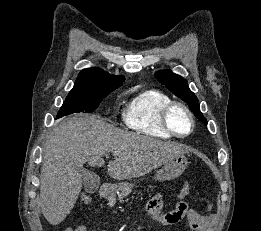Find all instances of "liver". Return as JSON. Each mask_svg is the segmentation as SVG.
<instances>
[{"mask_svg":"<svg viewBox=\"0 0 261 231\" xmlns=\"http://www.w3.org/2000/svg\"><path fill=\"white\" fill-rule=\"evenodd\" d=\"M188 152L182 144L123 131L92 115L62 121L47 140L40 175V205L46 220L57 225L71 212L82 188L78 170L86 162L104 165L112 153L109 175L124 180L148 174Z\"/></svg>","mask_w":261,"mask_h":231,"instance_id":"liver-1","label":"liver"}]
</instances>
